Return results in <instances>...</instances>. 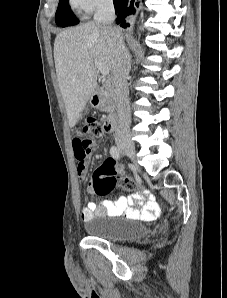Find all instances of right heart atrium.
Returning <instances> with one entry per match:
<instances>
[{
  "instance_id": "obj_1",
  "label": "right heart atrium",
  "mask_w": 227,
  "mask_h": 298,
  "mask_svg": "<svg viewBox=\"0 0 227 298\" xmlns=\"http://www.w3.org/2000/svg\"><path fill=\"white\" fill-rule=\"evenodd\" d=\"M74 9L86 15L111 5L112 0H70Z\"/></svg>"
}]
</instances>
